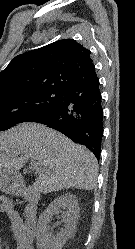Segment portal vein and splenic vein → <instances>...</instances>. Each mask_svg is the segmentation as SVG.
<instances>
[{
	"instance_id": "obj_1",
	"label": "portal vein and splenic vein",
	"mask_w": 135,
	"mask_h": 249,
	"mask_svg": "<svg viewBox=\"0 0 135 249\" xmlns=\"http://www.w3.org/2000/svg\"><path fill=\"white\" fill-rule=\"evenodd\" d=\"M31 165H32V168L37 170V168H38V163L37 162H32Z\"/></svg>"
}]
</instances>
